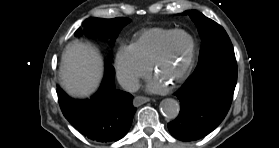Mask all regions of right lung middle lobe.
I'll return each mask as SVG.
<instances>
[{
    "mask_svg": "<svg viewBox=\"0 0 279 148\" xmlns=\"http://www.w3.org/2000/svg\"><path fill=\"white\" fill-rule=\"evenodd\" d=\"M129 22L130 19L122 17L114 19L88 18L83 22L82 26L87 36L100 37L101 39L110 38L114 41L121 28ZM81 34L82 30L79 28L74 35L78 36Z\"/></svg>",
    "mask_w": 279,
    "mask_h": 148,
    "instance_id": "right-lung-middle-lobe-1",
    "label": "right lung middle lobe"
}]
</instances>
